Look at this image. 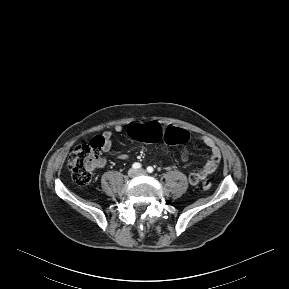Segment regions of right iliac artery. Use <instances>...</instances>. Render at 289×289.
I'll use <instances>...</instances> for the list:
<instances>
[{"instance_id":"obj_1","label":"right iliac artery","mask_w":289,"mask_h":289,"mask_svg":"<svg viewBox=\"0 0 289 289\" xmlns=\"http://www.w3.org/2000/svg\"><path fill=\"white\" fill-rule=\"evenodd\" d=\"M132 168L133 169H140L141 168V164L140 163H134L133 165H132Z\"/></svg>"}]
</instances>
